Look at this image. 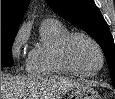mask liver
Listing matches in <instances>:
<instances>
[{"label":"liver","instance_id":"1","mask_svg":"<svg viewBox=\"0 0 115 99\" xmlns=\"http://www.w3.org/2000/svg\"><path fill=\"white\" fill-rule=\"evenodd\" d=\"M81 83L62 76H10L1 73V99H60Z\"/></svg>","mask_w":115,"mask_h":99}]
</instances>
